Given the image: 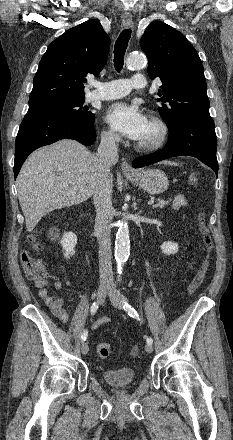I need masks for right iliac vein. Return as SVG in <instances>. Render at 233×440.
<instances>
[{
    "label": "right iliac vein",
    "mask_w": 233,
    "mask_h": 440,
    "mask_svg": "<svg viewBox=\"0 0 233 440\" xmlns=\"http://www.w3.org/2000/svg\"><path fill=\"white\" fill-rule=\"evenodd\" d=\"M109 290V286L107 285H100L97 293V300L102 303L106 297V294ZM81 352L82 354L86 355L89 352V345L87 342H83L81 345Z\"/></svg>",
    "instance_id": "1"
}]
</instances>
